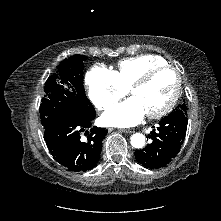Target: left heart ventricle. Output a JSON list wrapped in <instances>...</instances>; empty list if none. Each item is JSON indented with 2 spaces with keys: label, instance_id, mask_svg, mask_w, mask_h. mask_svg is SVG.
<instances>
[{
  "label": "left heart ventricle",
  "instance_id": "b2bd125f",
  "mask_svg": "<svg viewBox=\"0 0 221 221\" xmlns=\"http://www.w3.org/2000/svg\"><path fill=\"white\" fill-rule=\"evenodd\" d=\"M177 83L176 75L171 70L157 73L149 83L132 92V97L139 100L145 113L162 109L173 95Z\"/></svg>",
  "mask_w": 221,
  "mask_h": 221
}]
</instances>
